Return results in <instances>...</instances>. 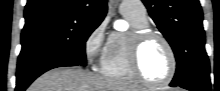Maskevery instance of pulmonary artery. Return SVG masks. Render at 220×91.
Segmentation results:
<instances>
[{
    "label": "pulmonary artery",
    "mask_w": 220,
    "mask_h": 91,
    "mask_svg": "<svg viewBox=\"0 0 220 91\" xmlns=\"http://www.w3.org/2000/svg\"><path fill=\"white\" fill-rule=\"evenodd\" d=\"M120 12L123 15H130L139 20H147L146 8L142 1L125 0L120 5Z\"/></svg>",
    "instance_id": "1"
}]
</instances>
